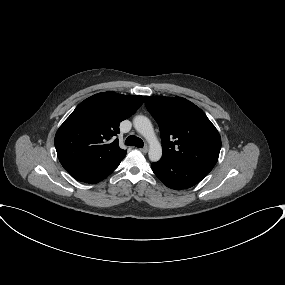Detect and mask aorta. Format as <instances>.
<instances>
[{"label": "aorta", "instance_id": "762f6f07", "mask_svg": "<svg viewBox=\"0 0 285 285\" xmlns=\"http://www.w3.org/2000/svg\"><path fill=\"white\" fill-rule=\"evenodd\" d=\"M133 125L136 131L139 132L149 143V159L152 162L160 160L162 157V147L155 135L149 118L143 115H138L133 119Z\"/></svg>", "mask_w": 285, "mask_h": 285}]
</instances>
